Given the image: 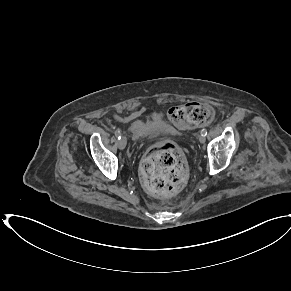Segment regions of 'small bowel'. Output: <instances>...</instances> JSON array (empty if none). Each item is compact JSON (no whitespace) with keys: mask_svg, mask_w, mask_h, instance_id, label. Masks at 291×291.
<instances>
[{"mask_svg":"<svg viewBox=\"0 0 291 291\" xmlns=\"http://www.w3.org/2000/svg\"><path fill=\"white\" fill-rule=\"evenodd\" d=\"M113 118L117 121H123L124 120V117L123 116H120L118 114H113Z\"/></svg>","mask_w":291,"mask_h":291,"instance_id":"obj_1","label":"small bowel"}]
</instances>
